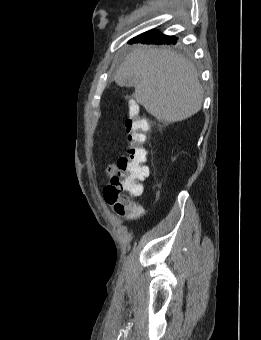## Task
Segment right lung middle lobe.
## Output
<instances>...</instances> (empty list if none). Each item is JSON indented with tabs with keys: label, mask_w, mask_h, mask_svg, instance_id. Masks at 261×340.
Masks as SVG:
<instances>
[{
	"label": "right lung middle lobe",
	"mask_w": 261,
	"mask_h": 340,
	"mask_svg": "<svg viewBox=\"0 0 261 340\" xmlns=\"http://www.w3.org/2000/svg\"><path fill=\"white\" fill-rule=\"evenodd\" d=\"M177 42V38L172 36V39L167 42V44H175Z\"/></svg>",
	"instance_id": "dd1d6c3e"
}]
</instances>
